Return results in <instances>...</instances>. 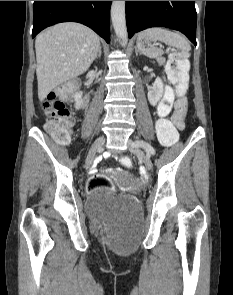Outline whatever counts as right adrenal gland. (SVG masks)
<instances>
[{
  "mask_svg": "<svg viewBox=\"0 0 233 295\" xmlns=\"http://www.w3.org/2000/svg\"><path fill=\"white\" fill-rule=\"evenodd\" d=\"M101 54H102V48L100 47L99 52H98V55H97L96 58L101 57Z\"/></svg>",
  "mask_w": 233,
  "mask_h": 295,
  "instance_id": "1",
  "label": "right adrenal gland"
}]
</instances>
